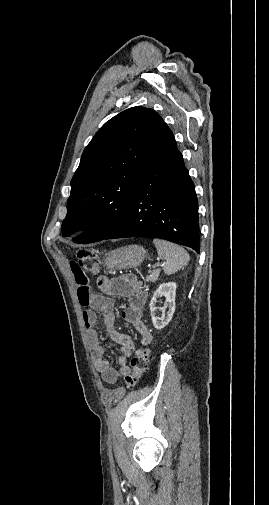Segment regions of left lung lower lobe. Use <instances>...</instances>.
<instances>
[{
    "mask_svg": "<svg viewBox=\"0 0 269 505\" xmlns=\"http://www.w3.org/2000/svg\"><path fill=\"white\" fill-rule=\"evenodd\" d=\"M138 236L161 238L200 251L195 187L174 136L164 122L130 195L124 217L103 239Z\"/></svg>",
    "mask_w": 269,
    "mask_h": 505,
    "instance_id": "obj_1",
    "label": "left lung lower lobe"
}]
</instances>
